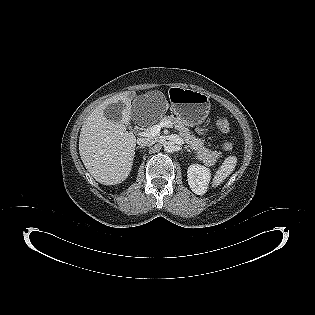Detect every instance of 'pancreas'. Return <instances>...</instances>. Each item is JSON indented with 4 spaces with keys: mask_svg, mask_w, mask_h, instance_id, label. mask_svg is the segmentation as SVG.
Segmentation results:
<instances>
[{
    "mask_svg": "<svg viewBox=\"0 0 315 315\" xmlns=\"http://www.w3.org/2000/svg\"><path fill=\"white\" fill-rule=\"evenodd\" d=\"M161 121H170L172 125L179 131V136L186 142L187 147L193 150L196 157L200 159L205 165H215L217 159L221 156L218 151H212L204 147V141L196 138L189 128L185 126V122L180 117L165 116Z\"/></svg>",
    "mask_w": 315,
    "mask_h": 315,
    "instance_id": "1",
    "label": "pancreas"
}]
</instances>
